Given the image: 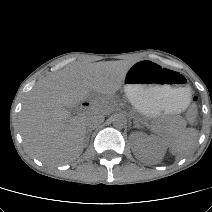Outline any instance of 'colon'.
I'll use <instances>...</instances> for the list:
<instances>
[{"instance_id":"colon-1","label":"colon","mask_w":212,"mask_h":212,"mask_svg":"<svg viewBox=\"0 0 212 212\" xmlns=\"http://www.w3.org/2000/svg\"><path fill=\"white\" fill-rule=\"evenodd\" d=\"M193 101H195V98H193ZM197 118V107L196 104L193 103L188 111H187V119L190 123H193Z\"/></svg>"}]
</instances>
